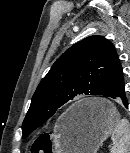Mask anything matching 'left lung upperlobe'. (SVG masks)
I'll return each instance as SVG.
<instances>
[{
  "label": "left lung upper lobe",
  "instance_id": "obj_1",
  "mask_svg": "<svg viewBox=\"0 0 130 153\" xmlns=\"http://www.w3.org/2000/svg\"><path fill=\"white\" fill-rule=\"evenodd\" d=\"M117 59L115 47L102 36H89L67 49L38 85L22 124V138L72 98L100 95Z\"/></svg>",
  "mask_w": 130,
  "mask_h": 153
}]
</instances>
